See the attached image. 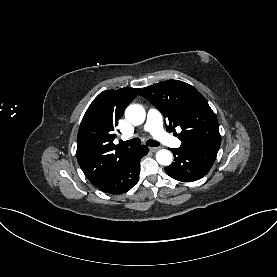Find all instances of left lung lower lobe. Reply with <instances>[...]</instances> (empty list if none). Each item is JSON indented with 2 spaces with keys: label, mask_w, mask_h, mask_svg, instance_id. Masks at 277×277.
<instances>
[{
  "label": "left lung lower lobe",
  "mask_w": 277,
  "mask_h": 277,
  "mask_svg": "<svg viewBox=\"0 0 277 277\" xmlns=\"http://www.w3.org/2000/svg\"><path fill=\"white\" fill-rule=\"evenodd\" d=\"M220 145L181 146L172 149L174 162L166 173L179 181L193 182L205 176L212 167Z\"/></svg>",
  "instance_id": "0a47b994"
}]
</instances>
